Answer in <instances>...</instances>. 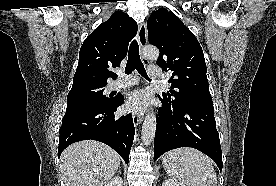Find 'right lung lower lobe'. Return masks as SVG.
Instances as JSON below:
<instances>
[{"label": "right lung lower lobe", "instance_id": "right-lung-lower-lobe-1", "mask_svg": "<svg viewBox=\"0 0 276 186\" xmlns=\"http://www.w3.org/2000/svg\"><path fill=\"white\" fill-rule=\"evenodd\" d=\"M122 96L102 107H84L66 111L60 127L58 157L70 144L81 140H97L113 148L128 164L135 127L131 114L116 117Z\"/></svg>", "mask_w": 276, "mask_h": 186}]
</instances>
